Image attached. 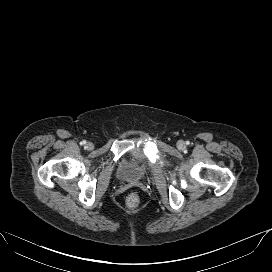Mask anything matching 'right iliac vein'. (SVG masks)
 I'll return each mask as SVG.
<instances>
[{
    "label": "right iliac vein",
    "instance_id": "obj_1",
    "mask_svg": "<svg viewBox=\"0 0 272 272\" xmlns=\"http://www.w3.org/2000/svg\"><path fill=\"white\" fill-rule=\"evenodd\" d=\"M86 148H87V150H92V149L94 148L93 143H92V142H88V143L86 144Z\"/></svg>",
    "mask_w": 272,
    "mask_h": 272
}]
</instances>
